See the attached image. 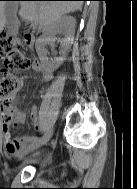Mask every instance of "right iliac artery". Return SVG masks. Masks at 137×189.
I'll return each mask as SVG.
<instances>
[{"mask_svg": "<svg viewBox=\"0 0 137 189\" xmlns=\"http://www.w3.org/2000/svg\"><path fill=\"white\" fill-rule=\"evenodd\" d=\"M43 133H48V130H46V127H42ZM40 137H44V134H40ZM39 140L38 137H33V142H36Z\"/></svg>", "mask_w": 137, "mask_h": 189, "instance_id": "right-iliac-artery-1", "label": "right iliac artery"}]
</instances>
